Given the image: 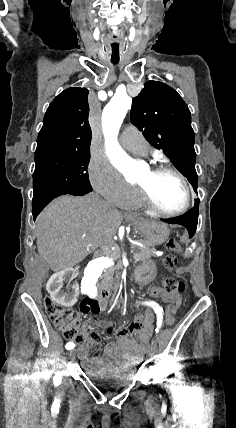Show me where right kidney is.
<instances>
[{"label": "right kidney", "instance_id": "obj_1", "mask_svg": "<svg viewBox=\"0 0 236 428\" xmlns=\"http://www.w3.org/2000/svg\"><path fill=\"white\" fill-rule=\"evenodd\" d=\"M77 269H57L53 272L48 284L51 293V300L55 306H73L76 304L77 283H66L68 278H77Z\"/></svg>", "mask_w": 236, "mask_h": 428}]
</instances>
